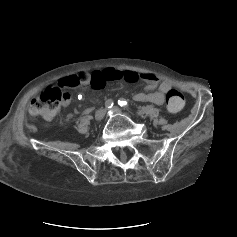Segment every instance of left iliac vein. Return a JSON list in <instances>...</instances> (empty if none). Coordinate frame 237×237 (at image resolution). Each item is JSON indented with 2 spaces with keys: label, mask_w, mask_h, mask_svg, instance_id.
<instances>
[{
  "label": "left iliac vein",
  "mask_w": 237,
  "mask_h": 237,
  "mask_svg": "<svg viewBox=\"0 0 237 237\" xmlns=\"http://www.w3.org/2000/svg\"><path fill=\"white\" fill-rule=\"evenodd\" d=\"M110 111H112V112H120V110L117 107H113L112 109H110Z\"/></svg>",
  "instance_id": "4c4485c4"
}]
</instances>
